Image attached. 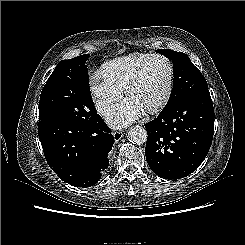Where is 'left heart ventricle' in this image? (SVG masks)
<instances>
[{"mask_svg":"<svg viewBox=\"0 0 245 245\" xmlns=\"http://www.w3.org/2000/svg\"><path fill=\"white\" fill-rule=\"evenodd\" d=\"M168 81V67L162 59H152L138 84L127 98L134 100L145 110L155 105L162 97Z\"/></svg>","mask_w":245,"mask_h":245,"instance_id":"1","label":"left heart ventricle"}]
</instances>
